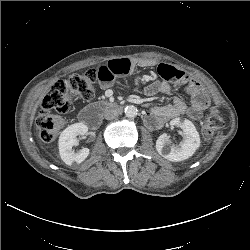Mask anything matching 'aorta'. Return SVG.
Segmentation results:
<instances>
[{
    "mask_svg": "<svg viewBox=\"0 0 250 250\" xmlns=\"http://www.w3.org/2000/svg\"><path fill=\"white\" fill-rule=\"evenodd\" d=\"M124 112H125V115L128 118H134L138 114L137 108L135 106H133V105L126 106L125 109H124Z\"/></svg>",
    "mask_w": 250,
    "mask_h": 250,
    "instance_id": "obj_1",
    "label": "aorta"
}]
</instances>
